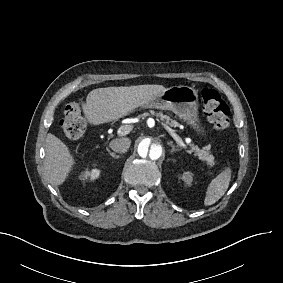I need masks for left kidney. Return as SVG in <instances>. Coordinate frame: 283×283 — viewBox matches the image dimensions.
Segmentation results:
<instances>
[{"mask_svg":"<svg viewBox=\"0 0 283 283\" xmlns=\"http://www.w3.org/2000/svg\"><path fill=\"white\" fill-rule=\"evenodd\" d=\"M186 183L190 184L192 181V175L189 172H185L182 178Z\"/></svg>","mask_w":283,"mask_h":283,"instance_id":"obj_1","label":"left kidney"}]
</instances>
